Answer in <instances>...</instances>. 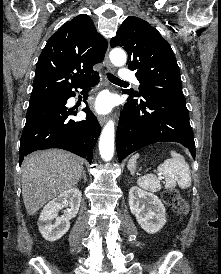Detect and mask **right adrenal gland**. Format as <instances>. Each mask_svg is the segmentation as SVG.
Returning <instances> with one entry per match:
<instances>
[{
  "mask_svg": "<svg viewBox=\"0 0 221 274\" xmlns=\"http://www.w3.org/2000/svg\"><path fill=\"white\" fill-rule=\"evenodd\" d=\"M81 179H83V180H84V182H86V181H87V177H86V172H85V170H83V173H82Z\"/></svg>",
  "mask_w": 221,
  "mask_h": 274,
  "instance_id": "right-adrenal-gland-1",
  "label": "right adrenal gland"
}]
</instances>
